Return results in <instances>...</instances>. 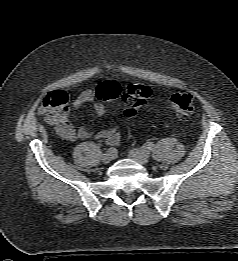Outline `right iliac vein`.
<instances>
[{
	"label": "right iliac vein",
	"instance_id": "63e3f726",
	"mask_svg": "<svg viewBox=\"0 0 238 261\" xmlns=\"http://www.w3.org/2000/svg\"><path fill=\"white\" fill-rule=\"evenodd\" d=\"M115 155H116V154H114V155L111 156V155H109L108 152H106V153L103 155V157H102L103 163H105V164L110 163V162L115 158Z\"/></svg>",
	"mask_w": 238,
	"mask_h": 261
}]
</instances>
